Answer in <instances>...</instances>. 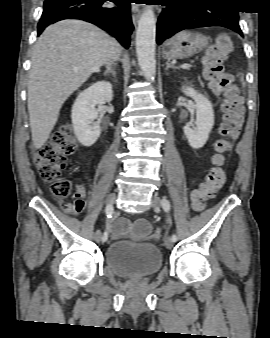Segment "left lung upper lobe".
<instances>
[{
	"instance_id": "left-lung-upper-lobe-1",
	"label": "left lung upper lobe",
	"mask_w": 270,
	"mask_h": 338,
	"mask_svg": "<svg viewBox=\"0 0 270 338\" xmlns=\"http://www.w3.org/2000/svg\"><path fill=\"white\" fill-rule=\"evenodd\" d=\"M212 1H216V2H222L221 0H212Z\"/></svg>"
}]
</instances>
